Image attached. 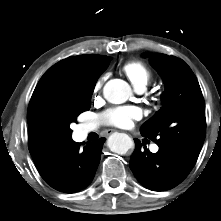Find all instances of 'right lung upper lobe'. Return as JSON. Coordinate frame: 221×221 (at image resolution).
Here are the masks:
<instances>
[{"instance_id":"1","label":"right lung upper lobe","mask_w":221,"mask_h":221,"mask_svg":"<svg viewBox=\"0 0 221 221\" xmlns=\"http://www.w3.org/2000/svg\"><path fill=\"white\" fill-rule=\"evenodd\" d=\"M110 57L102 55H78L64 59L49 68L38 82L31 97L28 111L29 151L34 161L59 147H46L36 136V127L46 111H58L89 73L105 69Z\"/></svg>"}]
</instances>
